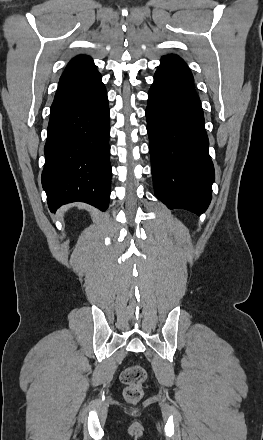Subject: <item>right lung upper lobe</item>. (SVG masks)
<instances>
[{
	"mask_svg": "<svg viewBox=\"0 0 263 440\" xmlns=\"http://www.w3.org/2000/svg\"><path fill=\"white\" fill-rule=\"evenodd\" d=\"M96 70V66L90 56L79 55L73 58L62 74L59 85L74 80L80 76Z\"/></svg>",
	"mask_w": 263,
	"mask_h": 440,
	"instance_id": "obj_1",
	"label": "right lung upper lobe"
}]
</instances>
